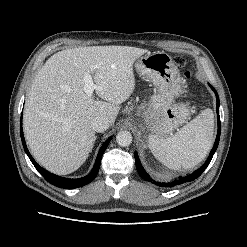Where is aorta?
<instances>
[{
    "label": "aorta",
    "instance_id": "aorta-1",
    "mask_svg": "<svg viewBox=\"0 0 247 247\" xmlns=\"http://www.w3.org/2000/svg\"><path fill=\"white\" fill-rule=\"evenodd\" d=\"M116 142L122 147H127L132 143V135L129 131H119L116 136Z\"/></svg>",
    "mask_w": 247,
    "mask_h": 247
}]
</instances>
